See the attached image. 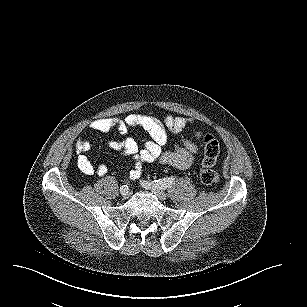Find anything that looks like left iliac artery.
<instances>
[{
    "mask_svg": "<svg viewBox=\"0 0 307 307\" xmlns=\"http://www.w3.org/2000/svg\"><path fill=\"white\" fill-rule=\"evenodd\" d=\"M176 177L171 176L169 178H164V179H159V180H154L153 182H147L145 185V188L147 186H156L159 189H163L165 190L167 187H169L170 185H172L175 182Z\"/></svg>",
    "mask_w": 307,
    "mask_h": 307,
    "instance_id": "44dca946",
    "label": "left iliac artery"
}]
</instances>
